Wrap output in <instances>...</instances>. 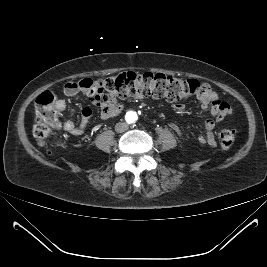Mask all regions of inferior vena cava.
<instances>
[{
    "label": "inferior vena cava",
    "mask_w": 267,
    "mask_h": 267,
    "mask_svg": "<svg viewBox=\"0 0 267 267\" xmlns=\"http://www.w3.org/2000/svg\"><path fill=\"white\" fill-rule=\"evenodd\" d=\"M128 129V124L126 122H119L115 125V131L118 133L125 132Z\"/></svg>",
    "instance_id": "obj_1"
}]
</instances>
